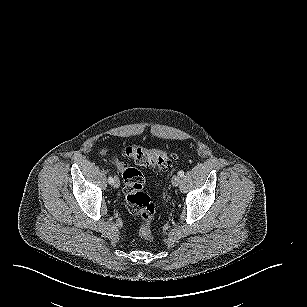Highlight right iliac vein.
Returning a JSON list of instances; mask_svg holds the SVG:
<instances>
[{
	"instance_id": "63e3f726",
	"label": "right iliac vein",
	"mask_w": 307,
	"mask_h": 307,
	"mask_svg": "<svg viewBox=\"0 0 307 307\" xmlns=\"http://www.w3.org/2000/svg\"><path fill=\"white\" fill-rule=\"evenodd\" d=\"M114 188H119L120 187V181L117 176L114 177V182H113Z\"/></svg>"
}]
</instances>
